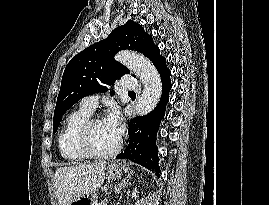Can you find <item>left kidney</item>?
<instances>
[{"label": "left kidney", "mask_w": 269, "mask_h": 205, "mask_svg": "<svg viewBox=\"0 0 269 205\" xmlns=\"http://www.w3.org/2000/svg\"><path fill=\"white\" fill-rule=\"evenodd\" d=\"M137 193H138V191H137V188H135L134 190H133V192H132V198H137Z\"/></svg>", "instance_id": "5707ae66"}]
</instances>
